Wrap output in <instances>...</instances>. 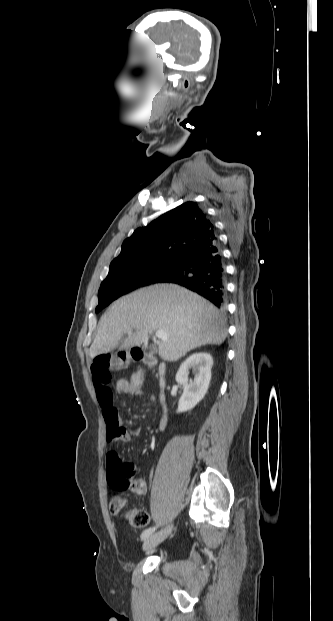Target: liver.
Masks as SVG:
<instances>
[{
	"label": "liver",
	"instance_id": "1",
	"mask_svg": "<svg viewBox=\"0 0 333 621\" xmlns=\"http://www.w3.org/2000/svg\"><path fill=\"white\" fill-rule=\"evenodd\" d=\"M160 329L167 339L159 342L158 354L166 361L205 344L220 345L227 336L223 315L208 301L177 285L156 284L112 304L100 320L90 357L140 346Z\"/></svg>",
	"mask_w": 333,
	"mask_h": 621
}]
</instances>
